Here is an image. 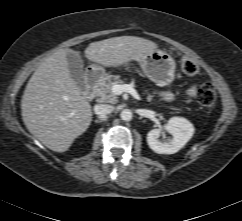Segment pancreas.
Masks as SVG:
<instances>
[{"mask_svg":"<svg viewBox=\"0 0 242 221\" xmlns=\"http://www.w3.org/2000/svg\"><path fill=\"white\" fill-rule=\"evenodd\" d=\"M124 81L118 75H107L103 77L97 84L95 93L98 97V102L116 104L118 102L117 94L113 92V86L122 84ZM152 95L149 99H152Z\"/></svg>","mask_w":242,"mask_h":221,"instance_id":"1","label":"pancreas"}]
</instances>
